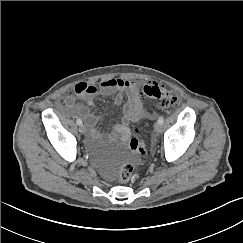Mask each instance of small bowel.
<instances>
[{
    "label": "small bowel",
    "instance_id": "1",
    "mask_svg": "<svg viewBox=\"0 0 243 243\" xmlns=\"http://www.w3.org/2000/svg\"><path fill=\"white\" fill-rule=\"evenodd\" d=\"M97 95L113 96L115 105H121L125 101L121 121L110 127L113 137H119L123 141L128 140L130 136V123L153 116V113L144 108L139 84L121 78H107L100 85L79 82L75 85L74 94L64 97L60 102V107L74 109L77 114L88 120L93 127V132H96L94 126L98 121L97 116L92 114L86 106L77 104V100L82 99L90 106L94 103Z\"/></svg>",
    "mask_w": 243,
    "mask_h": 243
}]
</instances>
